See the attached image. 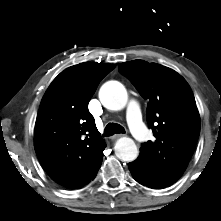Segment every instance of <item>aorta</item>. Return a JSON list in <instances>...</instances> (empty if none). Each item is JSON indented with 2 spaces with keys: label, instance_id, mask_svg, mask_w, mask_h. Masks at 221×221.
Segmentation results:
<instances>
[{
  "label": "aorta",
  "instance_id": "aorta-1",
  "mask_svg": "<svg viewBox=\"0 0 221 221\" xmlns=\"http://www.w3.org/2000/svg\"><path fill=\"white\" fill-rule=\"evenodd\" d=\"M99 99L102 105L109 110H121L128 101L127 91L124 85L118 81H108L99 90ZM115 155L122 161L136 160L139 151L131 138H120L114 147Z\"/></svg>",
  "mask_w": 221,
  "mask_h": 221
}]
</instances>
